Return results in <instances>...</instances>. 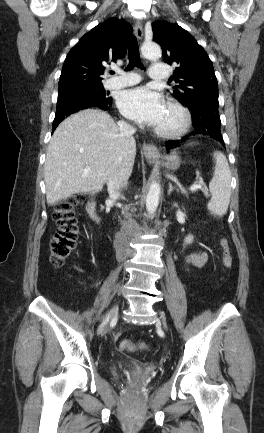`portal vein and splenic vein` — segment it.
I'll return each instance as SVG.
<instances>
[{"label":"portal vein and splenic vein","instance_id":"1","mask_svg":"<svg viewBox=\"0 0 264 433\" xmlns=\"http://www.w3.org/2000/svg\"><path fill=\"white\" fill-rule=\"evenodd\" d=\"M89 172H90V169H85V170H84V175L89 174ZM181 190H182L183 192H185L183 188H181ZM189 190H190L191 192H196L197 190H202V191L204 192L205 195H208V191L205 190V189H203V182H202V181L199 182V184L192 185V186L189 188Z\"/></svg>","mask_w":264,"mask_h":433}]
</instances>
